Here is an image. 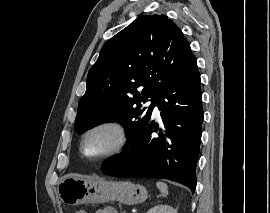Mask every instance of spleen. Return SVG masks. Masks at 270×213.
Masks as SVG:
<instances>
[{
    "instance_id": "obj_1",
    "label": "spleen",
    "mask_w": 270,
    "mask_h": 213,
    "mask_svg": "<svg viewBox=\"0 0 270 213\" xmlns=\"http://www.w3.org/2000/svg\"><path fill=\"white\" fill-rule=\"evenodd\" d=\"M157 188L160 190L161 194L164 196L168 195V186L164 182H157L156 183Z\"/></svg>"
}]
</instances>
